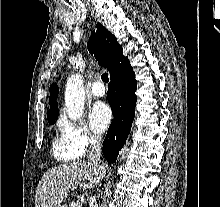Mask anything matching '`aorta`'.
Segmentation results:
<instances>
[{"mask_svg":"<svg viewBox=\"0 0 220 207\" xmlns=\"http://www.w3.org/2000/svg\"><path fill=\"white\" fill-rule=\"evenodd\" d=\"M85 90L84 80L80 74L72 75L66 83L65 109L71 120L80 118L84 112Z\"/></svg>","mask_w":220,"mask_h":207,"instance_id":"aorta-1","label":"aorta"}]
</instances>
